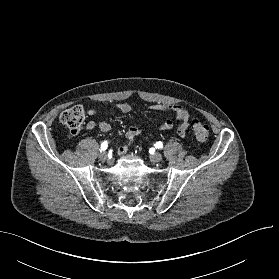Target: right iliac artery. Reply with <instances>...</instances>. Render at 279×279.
Listing matches in <instances>:
<instances>
[{
    "instance_id": "82829eb1",
    "label": "right iliac artery",
    "mask_w": 279,
    "mask_h": 279,
    "mask_svg": "<svg viewBox=\"0 0 279 279\" xmlns=\"http://www.w3.org/2000/svg\"><path fill=\"white\" fill-rule=\"evenodd\" d=\"M108 147V143L107 141H104L102 144H101V151H105Z\"/></svg>"
}]
</instances>
